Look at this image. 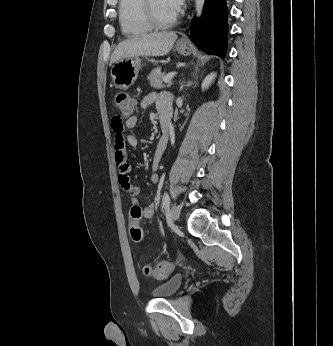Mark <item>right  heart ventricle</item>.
Listing matches in <instances>:
<instances>
[{
  "mask_svg": "<svg viewBox=\"0 0 333 346\" xmlns=\"http://www.w3.org/2000/svg\"><path fill=\"white\" fill-rule=\"evenodd\" d=\"M119 24L126 36H138L152 29L144 10L143 0H119Z\"/></svg>",
  "mask_w": 333,
  "mask_h": 346,
  "instance_id": "e07e8e85",
  "label": "right heart ventricle"
}]
</instances>
